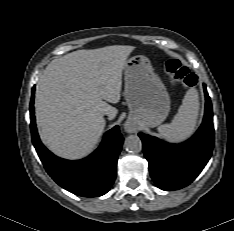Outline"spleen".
<instances>
[{
  "mask_svg": "<svg viewBox=\"0 0 234 231\" xmlns=\"http://www.w3.org/2000/svg\"><path fill=\"white\" fill-rule=\"evenodd\" d=\"M199 96L196 89H189L170 124L158 127V132L166 141L177 143L189 138L196 127L199 115Z\"/></svg>",
  "mask_w": 234,
  "mask_h": 231,
  "instance_id": "spleen-1",
  "label": "spleen"
}]
</instances>
